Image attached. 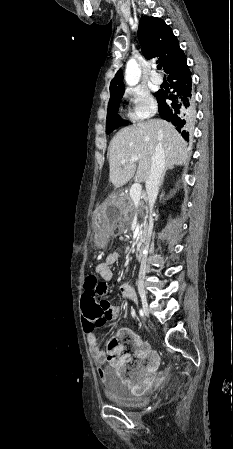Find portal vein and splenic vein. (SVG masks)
Listing matches in <instances>:
<instances>
[{"mask_svg": "<svg viewBox=\"0 0 233 449\" xmlns=\"http://www.w3.org/2000/svg\"><path fill=\"white\" fill-rule=\"evenodd\" d=\"M131 160L138 161L139 157L137 155H131ZM121 163L124 164L125 160L123 159L121 161ZM141 191H142V186L140 183H134L130 188V197L135 204H138L140 202Z\"/></svg>", "mask_w": 233, "mask_h": 449, "instance_id": "1", "label": "portal vein and splenic vein"}]
</instances>
